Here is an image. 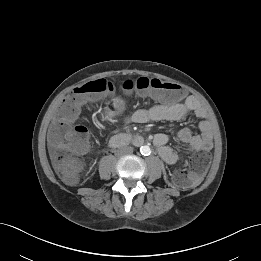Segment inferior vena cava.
Masks as SVG:
<instances>
[{
	"label": "inferior vena cava",
	"mask_w": 261,
	"mask_h": 261,
	"mask_svg": "<svg viewBox=\"0 0 261 261\" xmlns=\"http://www.w3.org/2000/svg\"><path fill=\"white\" fill-rule=\"evenodd\" d=\"M119 151L122 154H131L133 152V147H131V146L121 147Z\"/></svg>",
	"instance_id": "1"
}]
</instances>
